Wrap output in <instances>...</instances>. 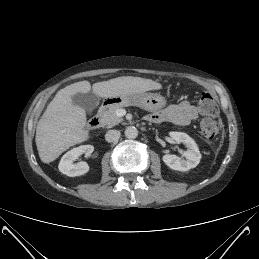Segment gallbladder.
<instances>
[{
    "label": "gallbladder",
    "instance_id": "bac80fb5",
    "mask_svg": "<svg viewBox=\"0 0 259 259\" xmlns=\"http://www.w3.org/2000/svg\"><path fill=\"white\" fill-rule=\"evenodd\" d=\"M72 102L74 105L80 106L87 113L91 114L92 111L97 107L99 98L92 92L88 93H76L72 95Z\"/></svg>",
    "mask_w": 259,
    "mask_h": 259
}]
</instances>
